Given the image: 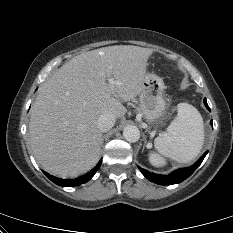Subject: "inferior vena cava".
<instances>
[{"label": "inferior vena cava", "instance_id": "inferior-vena-cava-1", "mask_svg": "<svg viewBox=\"0 0 233 233\" xmlns=\"http://www.w3.org/2000/svg\"><path fill=\"white\" fill-rule=\"evenodd\" d=\"M116 117L110 112L103 113L99 119L97 126L101 132L110 130L115 125Z\"/></svg>", "mask_w": 233, "mask_h": 233}]
</instances>
